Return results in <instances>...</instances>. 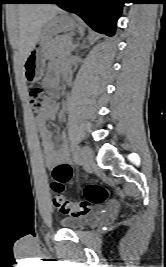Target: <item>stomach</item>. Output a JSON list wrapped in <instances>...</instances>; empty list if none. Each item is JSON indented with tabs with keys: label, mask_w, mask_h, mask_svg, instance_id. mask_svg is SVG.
I'll use <instances>...</instances> for the list:
<instances>
[{
	"label": "stomach",
	"mask_w": 166,
	"mask_h": 267,
	"mask_svg": "<svg viewBox=\"0 0 166 267\" xmlns=\"http://www.w3.org/2000/svg\"><path fill=\"white\" fill-rule=\"evenodd\" d=\"M77 26L76 21L63 11L42 26L36 43L23 63V74L27 82L35 83L44 76L45 61L52 37L72 31Z\"/></svg>",
	"instance_id": "stomach-1"
}]
</instances>
